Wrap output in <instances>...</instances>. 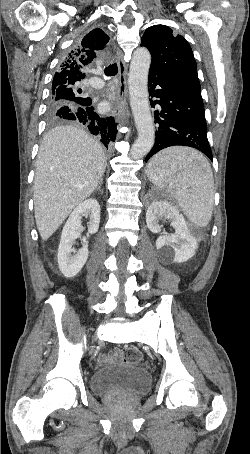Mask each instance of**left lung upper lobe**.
Listing matches in <instances>:
<instances>
[{"instance_id": "5c2ea615", "label": "left lung upper lobe", "mask_w": 250, "mask_h": 454, "mask_svg": "<svg viewBox=\"0 0 250 454\" xmlns=\"http://www.w3.org/2000/svg\"><path fill=\"white\" fill-rule=\"evenodd\" d=\"M141 45L148 48L152 61L149 73L169 80L199 84L197 64L189 43L165 25L149 27Z\"/></svg>"}]
</instances>
